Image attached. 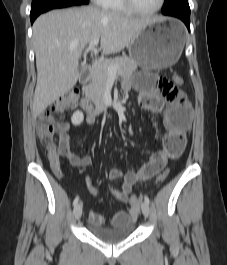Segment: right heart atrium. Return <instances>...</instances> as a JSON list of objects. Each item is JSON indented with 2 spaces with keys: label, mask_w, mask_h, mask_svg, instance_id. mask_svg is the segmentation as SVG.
Segmentation results:
<instances>
[{
  "label": "right heart atrium",
  "mask_w": 227,
  "mask_h": 265,
  "mask_svg": "<svg viewBox=\"0 0 227 265\" xmlns=\"http://www.w3.org/2000/svg\"><path fill=\"white\" fill-rule=\"evenodd\" d=\"M98 5H102L105 0H92Z\"/></svg>",
  "instance_id": "d8ad5b80"
}]
</instances>
